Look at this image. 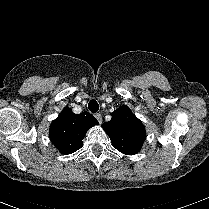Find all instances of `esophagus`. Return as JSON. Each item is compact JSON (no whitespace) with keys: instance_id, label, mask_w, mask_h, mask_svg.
Here are the masks:
<instances>
[{"instance_id":"1","label":"esophagus","mask_w":209,"mask_h":209,"mask_svg":"<svg viewBox=\"0 0 209 209\" xmlns=\"http://www.w3.org/2000/svg\"><path fill=\"white\" fill-rule=\"evenodd\" d=\"M95 118L98 120L99 123L102 122V116H101V114H99V113L95 114Z\"/></svg>"}]
</instances>
